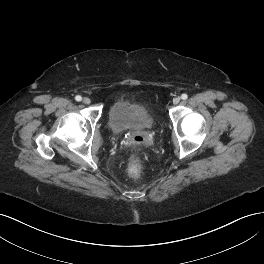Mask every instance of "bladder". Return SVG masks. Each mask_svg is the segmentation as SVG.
<instances>
[{"label": "bladder", "instance_id": "bladder-1", "mask_svg": "<svg viewBox=\"0 0 264 264\" xmlns=\"http://www.w3.org/2000/svg\"><path fill=\"white\" fill-rule=\"evenodd\" d=\"M107 122L113 132L121 133L130 129H149L153 126V117L144 105L127 99H119L108 108Z\"/></svg>", "mask_w": 264, "mask_h": 264}]
</instances>
